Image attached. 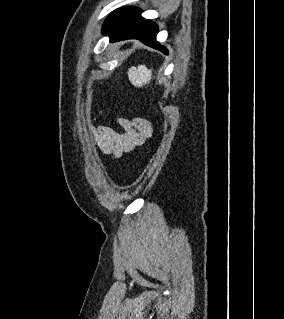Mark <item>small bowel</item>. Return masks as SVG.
I'll return each mask as SVG.
<instances>
[{
  "mask_svg": "<svg viewBox=\"0 0 284 319\" xmlns=\"http://www.w3.org/2000/svg\"><path fill=\"white\" fill-rule=\"evenodd\" d=\"M122 131L112 127L101 126L95 128L94 137L101 152L113 158L130 153L143 145L151 137L153 129L151 124L143 118L133 120L118 119Z\"/></svg>",
  "mask_w": 284,
  "mask_h": 319,
  "instance_id": "1",
  "label": "small bowel"
}]
</instances>
